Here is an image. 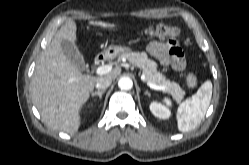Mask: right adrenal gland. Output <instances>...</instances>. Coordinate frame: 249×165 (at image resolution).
<instances>
[{
  "instance_id": "1",
  "label": "right adrenal gland",
  "mask_w": 249,
  "mask_h": 165,
  "mask_svg": "<svg viewBox=\"0 0 249 165\" xmlns=\"http://www.w3.org/2000/svg\"><path fill=\"white\" fill-rule=\"evenodd\" d=\"M105 89L97 92H93L91 95L92 97L99 96L100 100L102 99V95L105 93Z\"/></svg>"
}]
</instances>
